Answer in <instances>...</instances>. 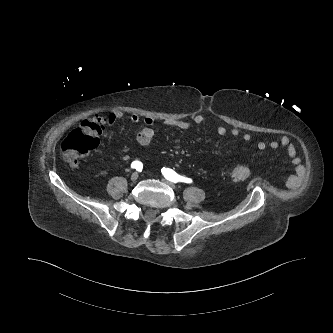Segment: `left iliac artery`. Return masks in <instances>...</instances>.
Instances as JSON below:
<instances>
[{
  "instance_id": "1",
  "label": "left iliac artery",
  "mask_w": 333,
  "mask_h": 333,
  "mask_svg": "<svg viewBox=\"0 0 333 333\" xmlns=\"http://www.w3.org/2000/svg\"><path fill=\"white\" fill-rule=\"evenodd\" d=\"M161 172L164 175V177L171 182L192 183V179L187 178L185 176H181V175L177 174L175 171H173L172 169L164 167L161 169Z\"/></svg>"
}]
</instances>
